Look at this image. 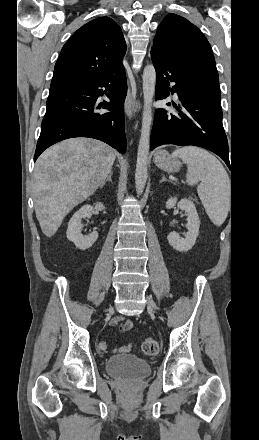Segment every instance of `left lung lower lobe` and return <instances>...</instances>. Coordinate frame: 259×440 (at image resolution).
I'll list each match as a JSON object with an SVG mask.
<instances>
[{"mask_svg":"<svg viewBox=\"0 0 259 440\" xmlns=\"http://www.w3.org/2000/svg\"><path fill=\"white\" fill-rule=\"evenodd\" d=\"M151 58L157 76L155 99H164L168 91L174 90L181 105L173 104L178 114L164 109L156 111L150 149L163 144L199 146L220 156L230 168L218 75L204 69L178 67L156 51H151ZM170 82L176 85L169 88ZM180 107L185 108L186 113Z\"/></svg>","mask_w":259,"mask_h":440,"instance_id":"0a47b994","label":"left lung lower lobe"}]
</instances>
